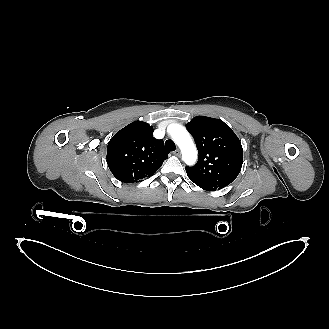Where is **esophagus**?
<instances>
[{
  "mask_svg": "<svg viewBox=\"0 0 329 329\" xmlns=\"http://www.w3.org/2000/svg\"><path fill=\"white\" fill-rule=\"evenodd\" d=\"M173 154L176 155V156H180V155H181V152H180L179 149H177V150H175V151L173 152Z\"/></svg>",
  "mask_w": 329,
  "mask_h": 329,
  "instance_id": "1",
  "label": "esophagus"
}]
</instances>
